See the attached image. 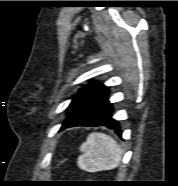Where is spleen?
<instances>
[{
    "instance_id": "spleen-1",
    "label": "spleen",
    "mask_w": 178,
    "mask_h": 186,
    "mask_svg": "<svg viewBox=\"0 0 178 186\" xmlns=\"http://www.w3.org/2000/svg\"><path fill=\"white\" fill-rule=\"evenodd\" d=\"M80 151L78 166L90 172L116 168L123 154L117 142L103 133H91L80 146Z\"/></svg>"
}]
</instances>
